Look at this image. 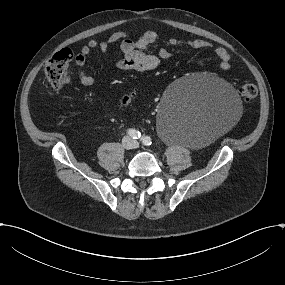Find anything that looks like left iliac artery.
<instances>
[{
  "label": "left iliac artery",
  "mask_w": 285,
  "mask_h": 285,
  "mask_svg": "<svg viewBox=\"0 0 285 285\" xmlns=\"http://www.w3.org/2000/svg\"><path fill=\"white\" fill-rule=\"evenodd\" d=\"M142 143L145 145V146H149V145H151V138L150 137H148V136H146V137H143L142 138Z\"/></svg>",
  "instance_id": "obj_1"
}]
</instances>
